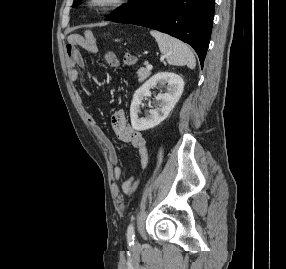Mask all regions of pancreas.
Returning <instances> with one entry per match:
<instances>
[{
  "label": "pancreas",
  "mask_w": 286,
  "mask_h": 269,
  "mask_svg": "<svg viewBox=\"0 0 286 269\" xmlns=\"http://www.w3.org/2000/svg\"><path fill=\"white\" fill-rule=\"evenodd\" d=\"M137 75H138L139 80L143 81L151 75V71L148 70L147 68L142 67L137 71Z\"/></svg>",
  "instance_id": "obj_1"
}]
</instances>
